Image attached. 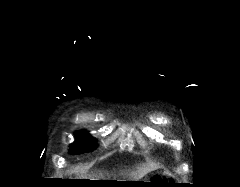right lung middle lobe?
<instances>
[{"label":"right lung middle lobe","mask_w":240,"mask_h":187,"mask_svg":"<svg viewBox=\"0 0 240 187\" xmlns=\"http://www.w3.org/2000/svg\"><path fill=\"white\" fill-rule=\"evenodd\" d=\"M80 138L72 144L71 153H81L93 149L94 139L91 137L84 138L82 133H78Z\"/></svg>","instance_id":"obj_1"}]
</instances>
